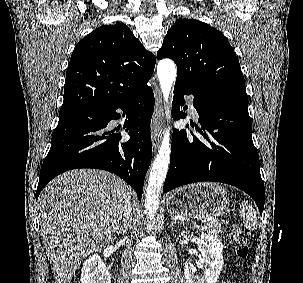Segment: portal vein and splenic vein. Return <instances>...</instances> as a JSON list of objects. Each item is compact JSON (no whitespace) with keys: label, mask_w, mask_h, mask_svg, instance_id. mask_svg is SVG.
<instances>
[{"label":"portal vein and splenic vein","mask_w":303,"mask_h":283,"mask_svg":"<svg viewBox=\"0 0 303 283\" xmlns=\"http://www.w3.org/2000/svg\"><path fill=\"white\" fill-rule=\"evenodd\" d=\"M214 222H216V220H211V221H209V223H211V224L214 223ZM207 224H208V223H207Z\"/></svg>","instance_id":"obj_1"}]
</instances>
